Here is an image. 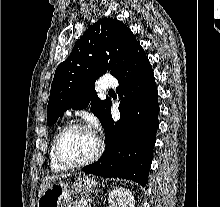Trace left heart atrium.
I'll list each match as a JSON object with an SVG mask.
<instances>
[{
  "instance_id": "1",
  "label": "left heart atrium",
  "mask_w": 220,
  "mask_h": 207,
  "mask_svg": "<svg viewBox=\"0 0 220 207\" xmlns=\"http://www.w3.org/2000/svg\"><path fill=\"white\" fill-rule=\"evenodd\" d=\"M94 128H95V129L98 128V124H97V122L94 123Z\"/></svg>"
}]
</instances>
